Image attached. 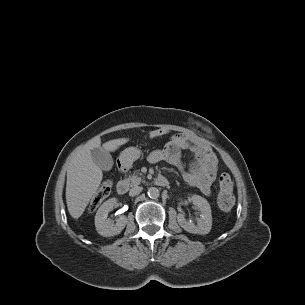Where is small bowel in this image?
Listing matches in <instances>:
<instances>
[{"label": "small bowel", "instance_id": "c3829d8e", "mask_svg": "<svg viewBox=\"0 0 305 305\" xmlns=\"http://www.w3.org/2000/svg\"><path fill=\"white\" fill-rule=\"evenodd\" d=\"M183 149L194 153L187 168L181 158ZM148 159L153 164L166 162L177 167L187 183L199 188L205 195L211 194L218 160L213 150L199 138L186 133L173 134L162 148L152 151Z\"/></svg>", "mask_w": 305, "mask_h": 305}]
</instances>
